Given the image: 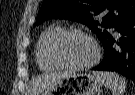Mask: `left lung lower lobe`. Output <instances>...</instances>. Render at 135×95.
<instances>
[{"instance_id":"1","label":"left lung lower lobe","mask_w":135,"mask_h":95,"mask_svg":"<svg viewBox=\"0 0 135 95\" xmlns=\"http://www.w3.org/2000/svg\"><path fill=\"white\" fill-rule=\"evenodd\" d=\"M116 31L120 37L110 34L102 42L104 57L93 70L118 72L135 83V14L122 22Z\"/></svg>"}]
</instances>
